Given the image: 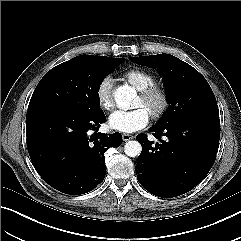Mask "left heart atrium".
I'll return each mask as SVG.
<instances>
[{
    "label": "left heart atrium",
    "mask_w": 241,
    "mask_h": 241,
    "mask_svg": "<svg viewBox=\"0 0 241 241\" xmlns=\"http://www.w3.org/2000/svg\"><path fill=\"white\" fill-rule=\"evenodd\" d=\"M149 118V112L144 107L130 111L117 110L110 115L109 126L119 132L133 133L145 128Z\"/></svg>",
    "instance_id": "left-heart-atrium-1"
}]
</instances>
